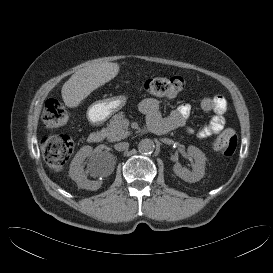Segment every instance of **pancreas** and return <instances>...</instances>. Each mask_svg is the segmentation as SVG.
Listing matches in <instances>:
<instances>
[{"instance_id":"obj_1","label":"pancreas","mask_w":273,"mask_h":273,"mask_svg":"<svg viewBox=\"0 0 273 273\" xmlns=\"http://www.w3.org/2000/svg\"><path fill=\"white\" fill-rule=\"evenodd\" d=\"M123 118L124 114L122 112L114 115L107 127L103 129L108 141H120L130 135L127 128L122 125Z\"/></svg>"}]
</instances>
